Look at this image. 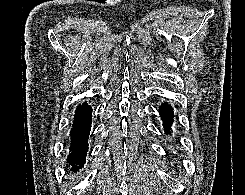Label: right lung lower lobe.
I'll use <instances>...</instances> for the list:
<instances>
[{"label":"right lung lower lobe","mask_w":245,"mask_h":195,"mask_svg":"<svg viewBox=\"0 0 245 195\" xmlns=\"http://www.w3.org/2000/svg\"><path fill=\"white\" fill-rule=\"evenodd\" d=\"M91 119L92 108L86 103L79 105L75 111L74 122L70 132L71 153L67 158V162L72 166L71 170L77 171L85 163Z\"/></svg>","instance_id":"98d812e1"}]
</instances>
